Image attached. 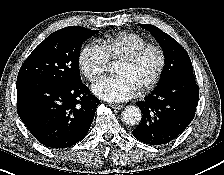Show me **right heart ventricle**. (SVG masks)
<instances>
[{"mask_svg": "<svg viewBox=\"0 0 224 175\" xmlns=\"http://www.w3.org/2000/svg\"><path fill=\"white\" fill-rule=\"evenodd\" d=\"M146 44L148 41L143 36L133 32L109 35L100 41L108 60H120Z\"/></svg>", "mask_w": 224, "mask_h": 175, "instance_id": "right-heart-ventricle-1", "label": "right heart ventricle"}]
</instances>
